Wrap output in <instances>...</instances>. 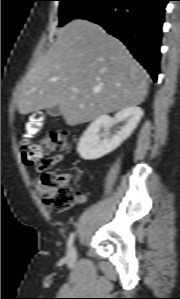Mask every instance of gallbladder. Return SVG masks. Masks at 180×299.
<instances>
[{"label": "gallbladder", "mask_w": 180, "mask_h": 299, "mask_svg": "<svg viewBox=\"0 0 180 299\" xmlns=\"http://www.w3.org/2000/svg\"><path fill=\"white\" fill-rule=\"evenodd\" d=\"M47 114L53 117L59 116L61 114L60 107L57 105L47 109Z\"/></svg>", "instance_id": "gallbladder-1"}]
</instances>
